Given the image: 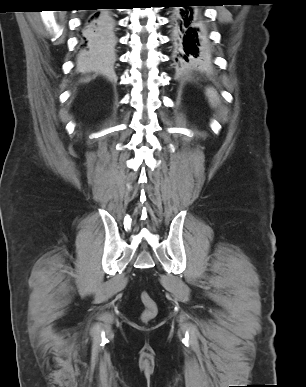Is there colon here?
I'll return each instance as SVG.
<instances>
[{
    "mask_svg": "<svg viewBox=\"0 0 306 387\" xmlns=\"http://www.w3.org/2000/svg\"><path fill=\"white\" fill-rule=\"evenodd\" d=\"M141 301L144 305V311L141 314V319L144 322L152 320L157 314V305L153 298L146 292L141 293Z\"/></svg>",
    "mask_w": 306,
    "mask_h": 387,
    "instance_id": "colon-1",
    "label": "colon"
}]
</instances>
